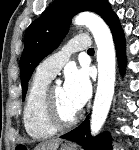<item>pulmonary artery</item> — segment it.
<instances>
[{"label": "pulmonary artery", "mask_w": 139, "mask_h": 150, "mask_svg": "<svg viewBox=\"0 0 139 150\" xmlns=\"http://www.w3.org/2000/svg\"><path fill=\"white\" fill-rule=\"evenodd\" d=\"M91 48V41L86 35H77L58 53L46 58L36 69V75L52 79L63 67L70 55Z\"/></svg>", "instance_id": "e3ab8cb5"}]
</instances>
